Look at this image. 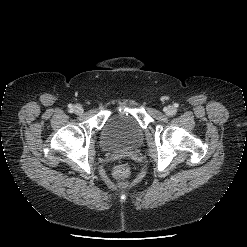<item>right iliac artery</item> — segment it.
<instances>
[{"label": "right iliac artery", "mask_w": 247, "mask_h": 247, "mask_svg": "<svg viewBox=\"0 0 247 247\" xmlns=\"http://www.w3.org/2000/svg\"><path fill=\"white\" fill-rule=\"evenodd\" d=\"M69 108H71V110H73V109H72V105H69Z\"/></svg>", "instance_id": "obj_1"}]
</instances>
